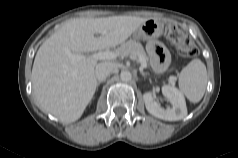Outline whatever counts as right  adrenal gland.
Returning <instances> with one entry per match:
<instances>
[{
    "label": "right adrenal gland",
    "instance_id": "obj_1",
    "mask_svg": "<svg viewBox=\"0 0 238 158\" xmlns=\"http://www.w3.org/2000/svg\"><path fill=\"white\" fill-rule=\"evenodd\" d=\"M102 83V81H98L97 82V87Z\"/></svg>",
    "mask_w": 238,
    "mask_h": 158
}]
</instances>
